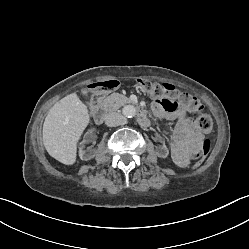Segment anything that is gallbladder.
<instances>
[{"label":"gallbladder","instance_id":"bac80fb5","mask_svg":"<svg viewBox=\"0 0 249 249\" xmlns=\"http://www.w3.org/2000/svg\"><path fill=\"white\" fill-rule=\"evenodd\" d=\"M82 94H83L84 96H87V95H88V91H87V90H83V91H82Z\"/></svg>","mask_w":249,"mask_h":249}]
</instances>
